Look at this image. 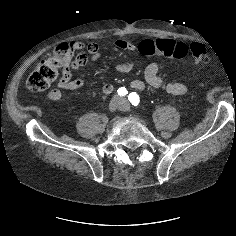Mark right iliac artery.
<instances>
[{"label": "right iliac artery", "mask_w": 236, "mask_h": 236, "mask_svg": "<svg viewBox=\"0 0 236 236\" xmlns=\"http://www.w3.org/2000/svg\"><path fill=\"white\" fill-rule=\"evenodd\" d=\"M117 92H118V95H119V96H122V97H123V96H126L127 93H128V91H127V89H126L125 87L119 88Z\"/></svg>", "instance_id": "obj_1"}]
</instances>
